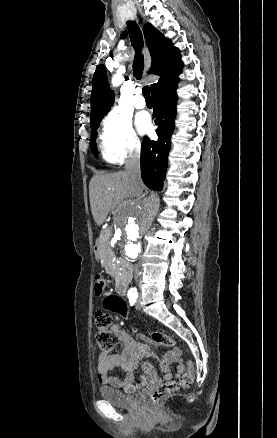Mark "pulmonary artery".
Listing matches in <instances>:
<instances>
[{"instance_id": "e3ab8cb5", "label": "pulmonary artery", "mask_w": 277, "mask_h": 438, "mask_svg": "<svg viewBox=\"0 0 277 438\" xmlns=\"http://www.w3.org/2000/svg\"><path fill=\"white\" fill-rule=\"evenodd\" d=\"M143 92L144 91H143L142 87H135L133 90V93L135 96H142ZM133 103L137 109H143L146 107V102H145L144 98H142V97H136L134 99Z\"/></svg>"}]
</instances>
